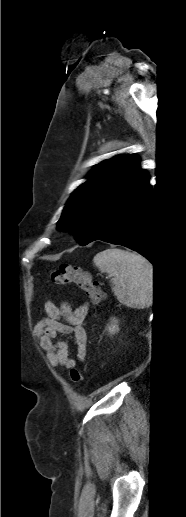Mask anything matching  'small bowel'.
Segmentation results:
<instances>
[{"instance_id": "c3829d8e", "label": "small bowel", "mask_w": 186, "mask_h": 517, "mask_svg": "<svg viewBox=\"0 0 186 517\" xmlns=\"http://www.w3.org/2000/svg\"><path fill=\"white\" fill-rule=\"evenodd\" d=\"M44 310L46 316L35 328L40 345L51 366L71 369L75 367L76 361L69 354L68 344L65 341H57L56 338L59 333L73 335L77 346V357L81 361L84 360L88 306L82 305L72 309L67 303L57 306L52 301H48L45 303Z\"/></svg>"}]
</instances>
